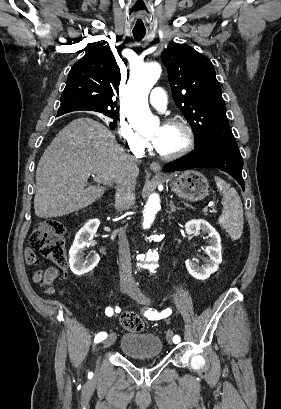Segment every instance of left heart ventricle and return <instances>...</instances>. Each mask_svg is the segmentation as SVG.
Instances as JSON below:
<instances>
[{"mask_svg":"<svg viewBox=\"0 0 281 409\" xmlns=\"http://www.w3.org/2000/svg\"><path fill=\"white\" fill-rule=\"evenodd\" d=\"M158 136V143L153 146L163 153H171L180 149L185 142V134L178 126H155L147 135V139L152 142Z\"/></svg>","mask_w":281,"mask_h":409,"instance_id":"left-heart-ventricle-1","label":"left heart ventricle"}]
</instances>
